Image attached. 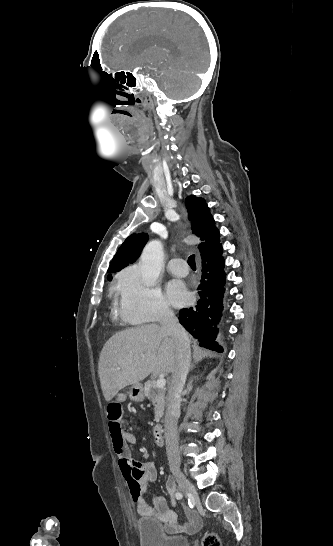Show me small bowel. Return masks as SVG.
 I'll return each mask as SVG.
<instances>
[{
    "instance_id": "obj_1",
    "label": "small bowel",
    "mask_w": 333,
    "mask_h": 546,
    "mask_svg": "<svg viewBox=\"0 0 333 546\" xmlns=\"http://www.w3.org/2000/svg\"><path fill=\"white\" fill-rule=\"evenodd\" d=\"M125 397L126 394L120 392L116 400H120L122 403ZM108 428L118 467L127 481L137 512L142 516L151 517L163 523L165 530L170 533L197 531L202 525V520L195 511L189 510L187 512L188 521L180 523L177 521L175 512L169 509V505L163 497L153 496L152 504L147 503L146 494L157 479V471L153 463L135 462L130 457L129 445L136 442L137 430H125L122 418H118L115 422L109 420ZM172 504H175L174 501Z\"/></svg>"
}]
</instances>
